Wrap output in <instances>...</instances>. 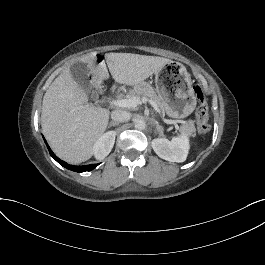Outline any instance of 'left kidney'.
<instances>
[{"label": "left kidney", "mask_w": 265, "mask_h": 265, "mask_svg": "<svg viewBox=\"0 0 265 265\" xmlns=\"http://www.w3.org/2000/svg\"><path fill=\"white\" fill-rule=\"evenodd\" d=\"M152 148L162 159L170 162H184L188 155L189 132L181 130V135L174 137L171 141L166 138L152 140Z\"/></svg>", "instance_id": "left-kidney-1"}]
</instances>
